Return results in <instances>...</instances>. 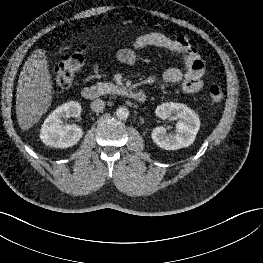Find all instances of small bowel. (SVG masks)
I'll return each mask as SVG.
<instances>
[{
	"mask_svg": "<svg viewBox=\"0 0 263 263\" xmlns=\"http://www.w3.org/2000/svg\"><path fill=\"white\" fill-rule=\"evenodd\" d=\"M149 46L174 52L183 57L184 68L166 70L161 77L164 83L182 81L181 90L185 94H194L202 89L204 61L184 35L171 38L159 32L143 34L134 41L132 47L119 50L117 59L123 64L133 65L137 60V52Z\"/></svg>",
	"mask_w": 263,
	"mask_h": 263,
	"instance_id": "c3829d8e",
	"label": "small bowel"
}]
</instances>
